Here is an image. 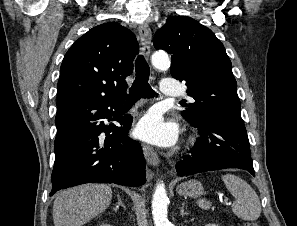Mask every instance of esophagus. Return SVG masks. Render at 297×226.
<instances>
[{
  "label": "esophagus",
  "mask_w": 297,
  "mask_h": 226,
  "mask_svg": "<svg viewBox=\"0 0 297 226\" xmlns=\"http://www.w3.org/2000/svg\"><path fill=\"white\" fill-rule=\"evenodd\" d=\"M139 35L142 43V54L145 57H149L150 54V42H151V29L147 23H143L139 26ZM143 153L146 161L152 166L159 165V158L157 153L148 145L142 144Z\"/></svg>",
  "instance_id": "obj_1"
}]
</instances>
